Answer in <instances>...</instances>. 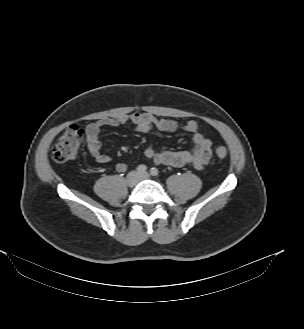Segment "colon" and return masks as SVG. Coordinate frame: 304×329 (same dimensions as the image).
Listing matches in <instances>:
<instances>
[{"label": "colon", "instance_id": "5ec220e1", "mask_svg": "<svg viewBox=\"0 0 304 329\" xmlns=\"http://www.w3.org/2000/svg\"><path fill=\"white\" fill-rule=\"evenodd\" d=\"M83 141V131L76 125L68 127L58 138L53 147L52 158L56 163H65L75 159ZM218 158H225L228 150L218 146L215 150Z\"/></svg>", "mask_w": 304, "mask_h": 329}]
</instances>
